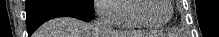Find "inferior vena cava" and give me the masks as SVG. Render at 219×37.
Masks as SVG:
<instances>
[{"mask_svg": "<svg viewBox=\"0 0 219 37\" xmlns=\"http://www.w3.org/2000/svg\"><path fill=\"white\" fill-rule=\"evenodd\" d=\"M94 37H110L113 33L111 26L104 14L100 15L92 24Z\"/></svg>", "mask_w": 219, "mask_h": 37, "instance_id": "602c4592", "label": "inferior vena cava"}]
</instances>
